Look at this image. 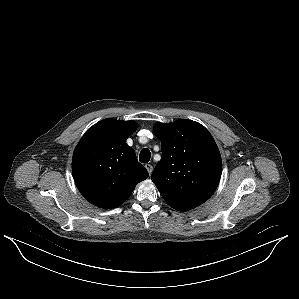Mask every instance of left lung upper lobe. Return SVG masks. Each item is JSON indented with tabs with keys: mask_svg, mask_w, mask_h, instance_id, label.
Segmentation results:
<instances>
[{
	"mask_svg": "<svg viewBox=\"0 0 299 299\" xmlns=\"http://www.w3.org/2000/svg\"><path fill=\"white\" fill-rule=\"evenodd\" d=\"M154 132L162 141V157L151 179L166 203L182 212L204 203L215 192L222 173L212 135L187 119L157 123Z\"/></svg>",
	"mask_w": 299,
	"mask_h": 299,
	"instance_id": "left-lung-upper-lobe-1",
	"label": "left lung upper lobe"
}]
</instances>
